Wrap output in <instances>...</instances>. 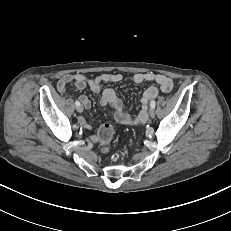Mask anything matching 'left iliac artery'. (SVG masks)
Returning <instances> with one entry per match:
<instances>
[{
	"label": "left iliac artery",
	"instance_id": "1",
	"mask_svg": "<svg viewBox=\"0 0 231 231\" xmlns=\"http://www.w3.org/2000/svg\"><path fill=\"white\" fill-rule=\"evenodd\" d=\"M155 105H156L155 101L152 100V101L150 102V107H151L152 109H154V108H155Z\"/></svg>",
	"mask_w": 231,
	"mask_h": 231
}]
</instances>
